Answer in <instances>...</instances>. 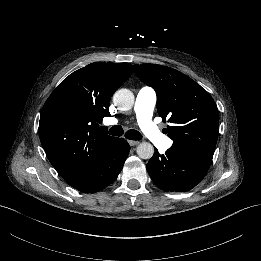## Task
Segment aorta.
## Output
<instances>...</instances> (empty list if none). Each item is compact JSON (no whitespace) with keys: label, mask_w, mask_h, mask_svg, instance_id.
Returning <instances> with one entry per match:
<instances>
[{"label":"aorta","mask_w":261,"mask_h":261,"mask_svg":"<svg viewBox=\"0 0 261 261\" xmlns=\"http://www.w3.org/2000/svg\"><path fill=\"white\" fill-rule=\"evenodd\" d=\"M113 103L120 110H129L134 104V94L127 88L118 89L113 95ZM137 154L141 159L148 160L152 158L154 148L150 143H141L137 147Z\"/></svg>","instance_id":"762f6f07"}]
</instances>
